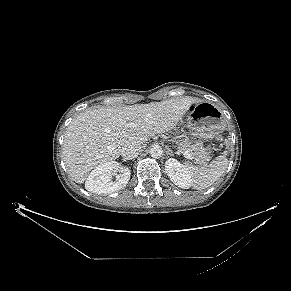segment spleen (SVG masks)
Segmentation results:
<instances>
[{"label": "spleen", "instance_id": "1", "mask_svg": "<svg viewBox=\"0 0 291 291\" xmlns=\"http://www.w3.org/2000/svg\"><path fill=\"white\" fill-rule=\"evenodd\" d=\"M226 156L216 157L208 167H198L187 163L186 167L191 172L193 188L203 190L213 185L228 167Z\"/></svg>", "mask_w": 291, "mask_h": 291}]
</instances>
